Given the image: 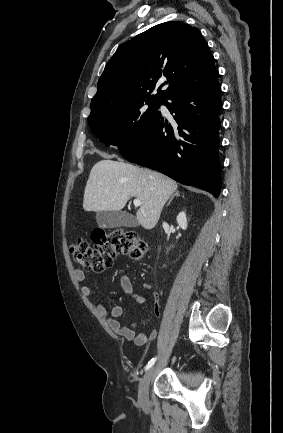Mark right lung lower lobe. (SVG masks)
Wrapping results in <instances>:
<instances>
[{
	"instance_id": "right-lung-lower-lobe-1",
	"label": "right lung lower lobe",
	"mask_w": 283,
	"mask_h": 433,
	"mask_svg": "<svg viewBox=\"0 0 283 433\" xmlns=\"http://www.w3.org/2000/svg\"><path fill=\"white\" fill-rule=\"evenodd\" d=\"M218 76L163 101L170 113L175 114V121L168 122L158 112L137 141L121 154L131 162L218 197L221 186L218 131L222 108Z\"/></svg>"
}]
</instances>
